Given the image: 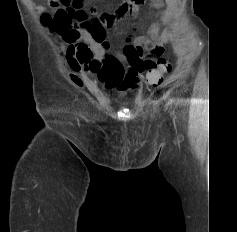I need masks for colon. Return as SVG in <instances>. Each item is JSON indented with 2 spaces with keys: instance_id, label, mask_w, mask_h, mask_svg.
<instances>
[{
  "instance_id": "obj_1",
  "label": "colon",
  "mask_w": 237,
  "mask_h": 232,
  "mask_svg": "<svg viewBox=\"0 0 237 232\" xmlns=\"http://www.w3.org/2000/svg\"><path fill=\"white\" fill-rule=\"evenodd\" d=\"M145 0H127L117 10L116 14L123 16L135 9ZM84 0H50L53 14L44 13L42 21L51 29H55L64 39H74L81 34L98 33L103 29V19L90 20L82 9ZM171 71V63L162 58L157 66L149 70L147 82L158 86L164 81V74Z\"/></svg>"
}]
</instances>
